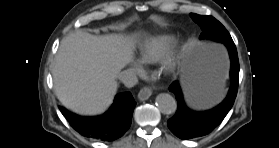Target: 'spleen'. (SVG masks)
<instances>
[{
	"label": "spleen",
	"mask_w": 279,
	"mask_h": 148,
	"mask_svg": "<svg viewBox=\"0 0 279 148\" xmlns=\"http://www.w3.org/2000/svg\"><path fill=\"white\" fill-rule=\"evenodd\" d=\"M219 92H220V93H222V92H223V84H222V85H220Z\"/></svg>",
	"instance_id": "spleen-1"
}]
</instances>
